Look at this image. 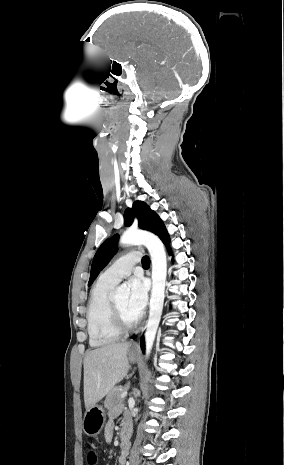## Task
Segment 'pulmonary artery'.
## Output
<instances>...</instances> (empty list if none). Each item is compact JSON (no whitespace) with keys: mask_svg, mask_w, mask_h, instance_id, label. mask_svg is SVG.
Listing matches in <instances>:
<instances>
[{"mask_svg":"<svg viewBox=\"0 0 284 465\" xmlns=\"http://www.w3.org/2000/svg\"><path fill=\"white\" fill-rule=\"evenodd\" d=\"M142 261L143 256L140 250H135L133 254H121L120 261L107 268L101 274L100 279L107 283L116 284L131 273L135 263Z\"/></svg>","mask_w":284,"mask_h":465,"instance_id":"e3ab8cb5","label":"pulmonary artery"}]
</instances>
